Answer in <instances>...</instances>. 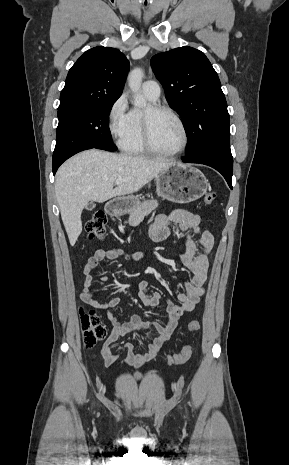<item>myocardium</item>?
I'll return each instance as SVG.
<instances>
[{
  "label": "myocardium",
  "instance_id": "f54148a6",
  "mask_svg": "<svg viewBox=\"0 0 289 465\" xmlns=\"http://www.w3.org/2000/svg\"><path fill=\"white\" fill-rule=\"evenodd\" d=\"M156 113H168L172 117H174L175 120L180 125L182 133H183V143H182V146L178 150L173 151V152H163V151L158 150L155 147L153 140H152V134H151V115L156 114ZM142 137H143L144 146L150 154H153L158 157H164V158L176 157L182 154L187 149L188 144H189V132L182 117L173 108L166 106V105H160V104H153L148 108V111L143 112L142 114Z\"/></svg>",
  "mask_w": 289,
  "mask_h": 465
}]
</instances>
